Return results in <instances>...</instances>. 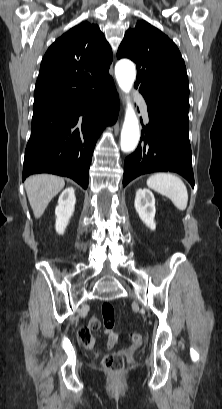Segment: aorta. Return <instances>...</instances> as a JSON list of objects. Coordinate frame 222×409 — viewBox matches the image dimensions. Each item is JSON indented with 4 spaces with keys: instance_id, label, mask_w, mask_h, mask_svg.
Listing matches in <instances>:
<instances>
[{
    "instance_id": "aorta-1",
    "label": "aorta",
    "mask_w": 222,
    "mask_h": 409,
    "mask_svg": "<svg viewBox=\"0 0 222 409\" xmlns=\"http://www.w3.org/2000/svg\"><path fill=\"white\" fill-rule=\"evenodd\" d=\"M115 76L119 87L125 93H129L136 78L134 64L129 60H120L115 66ZM120 138L121 149L125 153L134 151L139 143V121L130 101L127 102Z\"/></svg>"
}]
</instances>
